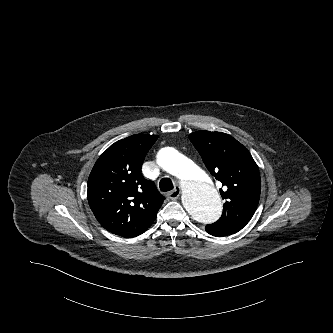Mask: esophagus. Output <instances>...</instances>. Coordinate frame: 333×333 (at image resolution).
Listing matches in <instances>:
<instances>
[{
    "instance_id": "obj_1",
    "label": "esophagus",
    "mask_w": 333,
    "mask_h": 333,
    "mask_svg": "<svg viewBox=\"0 0 333 333\" xmlns=\"http://www.w3.org/2000/svg\"><path fill=\"white\" fill-rule=\"evenodd\" d=\"M180 194H181V188L179 186H176L174 190H172L167 194V197L169 199L175 200L180 196Z\"/></svg>"
}]
</instances>
